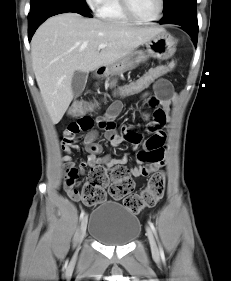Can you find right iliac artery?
Masks as SVG:
<instances>
[{
  "instance_id": "1",
  "label": "right iliac artery",
  "mask_w": 231,
  "mask_h": 281,
  "mask_svg": "<svg viewBox=\"0 0 231 281\" xmlns=\"http://www.w3.org/2000/svg\"><path fill=\"white\" fill-rule=\"evenodd\" d=\"M83 217H84V211L81 212L80 219H82Z\"/></svg>"
}]
</instances>
